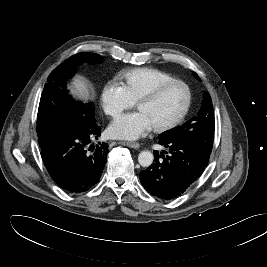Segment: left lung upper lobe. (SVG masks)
Returning <instances> with one entry per match:
<instances>
[{"label":"left lung upper lobe","mask_w":267,"mask_h":267,"mask_svg":"<svg viewBox=\"0 0 267 267\" xmlns=\"http://www.w3.org/2000/svg\"><path fill=\"white\" fill-rule=\"evenodd\" d=\"M194 77L200 80L196 73ZM203 97L202 107L196 117L182 126L160 134L159 139L187 141L210 154L214 139L215 118L210 94L204 92Z\"/></svg>","instance_id":"1"}]
</instances>
